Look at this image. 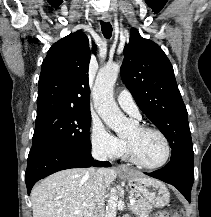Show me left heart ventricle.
Masks as SVG:
<instances>
[{
    "label": "left heart ventricle",
    "instance_id": "left-heart-ventricle-1",
    "mask_svg": "<svg viewBox=\"0 0 211 217\" xmlns=\"http://www.w3.org/2000/svg\"><path fill=\"white\" fill-rule=\"evenodd\" d=\"M127 140L132 144L137 156L146 164H158L165 157V143L155 132H143L136 127L127 135Z\"/></svg>",
    "mask_w": 211,
    "mask_h": 217
}]
</instances>
